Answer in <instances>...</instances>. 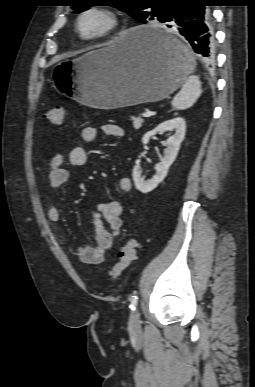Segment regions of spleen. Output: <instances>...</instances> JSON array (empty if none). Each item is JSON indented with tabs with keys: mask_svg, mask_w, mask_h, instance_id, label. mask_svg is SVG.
Segmentation results:
<instances>
[{
	"mask_svg": "<svg viewBox=\"0 0 255 387\" xmlns=\"http://www.w3.org/2000/svg\"><path fill=\"white\" fill-rule=\"evenodd\" d=\"M202 93L201 83L197 76L190 75L181 90L172 100L171 104L174 109L185 110L193 106Z\"/></svg>",
	"mask_w": 255,
	"mask_h": 387,
	"instance_id": "spleen-1",
	"label": "spleen"
}]
</instances>
